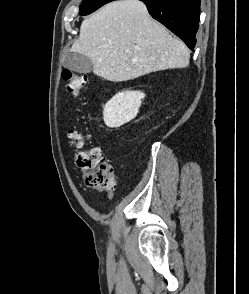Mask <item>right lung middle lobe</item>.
I'll list each match as a JSON object with an SVG mask.
<instances>
[{
  "label": "right lung middle lobe",
  "mask_w": 249,
  "mask_h": 294,
  "mask_svg": "<svg viewBox=\"0 0 249 294\" xmlns=\"http://www.w3.org/2000/svg\"><path fill=\"white\" fill-rule=\"evenodd\" d=\"M111 1H114V0H83L80 6L79 14L88 15Z\"/></svg>",
  "instance_id": "dd1d6c3e"
}]
</instances>
